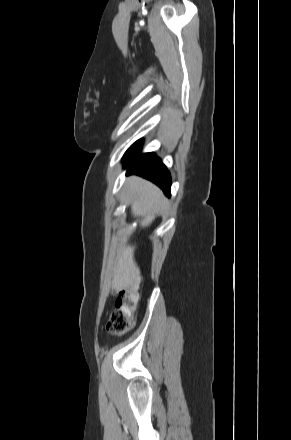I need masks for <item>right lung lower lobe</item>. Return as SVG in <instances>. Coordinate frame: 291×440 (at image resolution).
<instances>
[{
  "mask_svg": "<svg viewBox=\"0 0 291 440\" xmlns=\"http://www.w3.org/2000/svg\"><path fill=\"white\" fill-rule=\"evenodd\" d=\"M141 144L142 140L136 141L124 154L123 162L127 174H136L151 180L170 196V173L154 153L140 154Z\"/></svg>",
  "mask_w": 291,
  "mask_h": 440,
  "instance_id": "1",
  "label": "right lung lower lobe"
}]
</instances>
